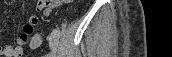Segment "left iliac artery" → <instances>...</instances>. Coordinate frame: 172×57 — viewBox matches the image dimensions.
<instances>
[{"instance_id": "1", "label": "left iliac artery", "mask_w": 172, "mask_h": 57, "mask_svg": "<svg viewBox=\"0 0 172 57\" xmlns=\"http://www.w3.org/2000/svg\"><path fill=\"white\" fill-rule=\"evenodd\" d=\"M57 33L58 36H60L61 32H60V29L59 28H56L55 30H53Z\"/></svg>"}]
</instances>
